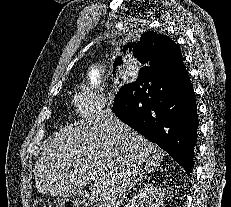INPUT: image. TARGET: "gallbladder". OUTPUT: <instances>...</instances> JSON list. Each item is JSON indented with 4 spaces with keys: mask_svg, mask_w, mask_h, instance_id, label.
I'll return each instance as SVG.
<instances>
[{
    "mask_svg": "<svg viewBox=\"0 0 231 207\" xmlns=\"http://www.w3.org/2000/svg\"><path fill=\"white\" fill-rule=\"evenodd\" d=\"M71 199L73 203L76 205H83L87 207L92 206V202L90 201L89 194L85 191L78 190L74 194H72Z\"/></svg>",
    "mask_w": 231,
    "mask_h": 207,
    "instance_id": "gallbladder-1",
    "label": "gallbladder"
}]
</instances>
